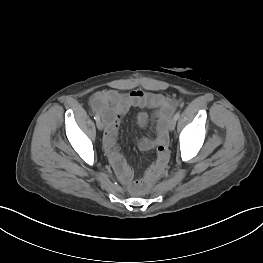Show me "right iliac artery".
<instances>
[{"mask_svg":"<svg viewBox=\"0 0 263 263\" xmlns=\"http://www.w3.org/2000/svg\"><path fill=\"white\" fill-rule=\"evenodd\" d=\"M94 119H95L96 121H99V120H100L99 115L96 114V115L94 116Z\"/></svg>","mask_w":263,"mask_h":263,"instance_id":"right-iliac-artery-1","label":"right iliac artery"}]
</instances>
